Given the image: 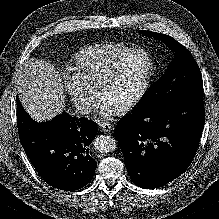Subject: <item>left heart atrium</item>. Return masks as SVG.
I'll return each instance as SVG.
<instances>
[{"label":"left heart atrium","instance_id":"left-heart-atrium-1","mask_svg":"<svg viewBox=\"0 0 219 219\" xmlns=\"http://www.w3.org/2000/svg\"><path fill=\"white\" fill-rule=\"evenodd\" d=\"M98 108L104 115H111L115 108L103 97L99 98Z\"/></svg>","mask_w":219,"mask_h":219}]
</instances>
